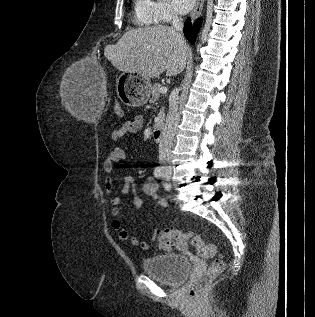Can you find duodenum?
I'll return each mask as SVG.
<instances>
[{"instance_id":"duodenum-1","label":"duodenum","mask_w":315,"mask_h":317,"mask_svg":"<svg viewBox=\"0 0 315 317\" xmlns=\"http://www.w3.org/2000/svg\"><path fill=\"white\" fill-rule=\"evenodd\" d=\"M164 131H165V126H164V122L162 120H159L153 130V138L157 141V142H161L163 140L164 137Z\"/></svg>"}]
</instances>
